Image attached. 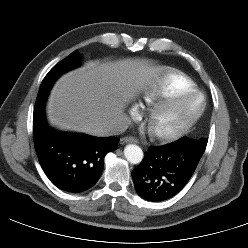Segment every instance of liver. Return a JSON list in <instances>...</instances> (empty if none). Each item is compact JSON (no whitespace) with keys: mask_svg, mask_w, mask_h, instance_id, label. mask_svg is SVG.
<instances>
[{"mask_svg":"<svg viewBox=\"0 0 248 248\" xmlns=\"http://www.w3.org/2000/svg\"><path fill=\"white\" fill-rule=\"evenodd\" d=\"M153 73L140 60L90 61L56 82L47 105L49 122L62 130L105 136Z\"/></svg>","mask_w":248,"mask_h":248,"instance_id":"6515ba94","label":"liver"}]
</instances>
